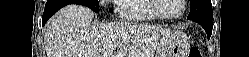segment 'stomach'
Masks as SVG:
<instances>
[{
    "label": "stomach",
    "mask_w": 249,
    "mask_h": 57,
    "mask_svg": "<svg viewBox=\"0 0 249 57\" xmlns=\"http://www.w3.org/2000/svg\"><path fill=\"white\" fill-rule=\"evenodd\" d=\"M190 41L180 32H170L161 36L155 57H187Z\"/></svg>",
    "instance_id": "stomach-1"
}]
</instances>
